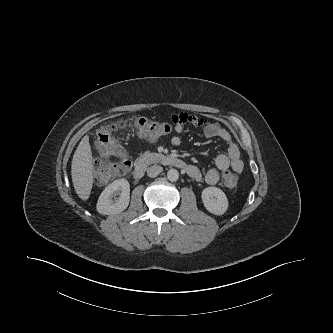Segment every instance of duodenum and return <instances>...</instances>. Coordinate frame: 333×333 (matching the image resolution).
I'll return each instance as SVG.
<instances>
[{"label":"duodenum","mask_w":333,"mask_h":333,"mask_svg":"<svg viewBox=\"0 0 333 333\" xmlns=\"http://www.w3.org/2000/svg\"><path fill=\"white\" fill-rule=\"evenodd\" d=\"M154 162H158L160 164H163L165 166H171V167H175L178 169H183L186 171L190 170V165L187 164L184 160L174 157V156H170V155H158V156H145L140 158L133 169V176L136 179L141 178L147 167Z\"/></svg>","instance_id":"duodenum-1"}]
</instances>
